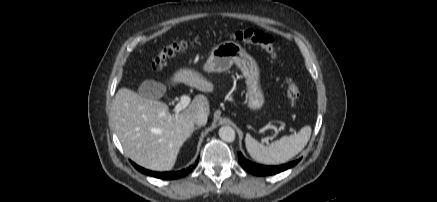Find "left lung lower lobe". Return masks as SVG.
<instances>
[{
	"instance_id": "1",
	"label": "left lung lower lobe",
	"mask_w": 437,
	"mask_h": 202,
	"mask_svg": "<svg viewBox=\"0 0 437 202\" xmlns=\"http://www.w3.org/2000/svg\"><path fill=\"white\" fill-rule=\"evenodd\" d=\"M238 160L239 163L241 164V166L249 173L253 174V175H257V176H267V175H273L276 173H280L286 169H289L293 166H295L300 160H296L287 164H283V165H279V166H264V165H260V164H256L253 163L249 160H247L246 158H244V156L239 153L238 155Z\"/></svg>"
}]
</instances>
